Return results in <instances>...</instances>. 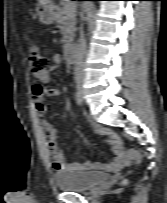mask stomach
Instances as JSON below:
<instances>
[{
    "label": "stomach",
    "mask_w": 167,
    "mask_h": 203,
    "mask_svg": "<svg viewBox=\"0 0 167 203\" xmlns=\"http://www.w3.org/2000/svg\"><path fill=\"white\" fill-rule=\"evenodd\" d=\"M38 16L43 24H52L57 19V13L52 3L46 1L38 8Z\"/></svg>",
    "instance_id": "1"
}]
</instances>
